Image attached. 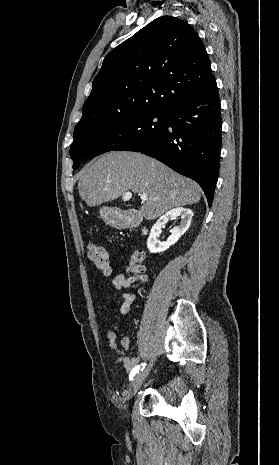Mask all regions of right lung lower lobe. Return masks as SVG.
Listing matches in <instances>:
<instances>
[{
  "instance_id": "98d812e1",
  "label": "right lung lower lobe",
  "mask_w": 279,
  "mask_h": 465,
  "mask_svg": "<svg viewBox=\"0 0 279 465\" xmlns=\"http://www.w3.org/2000/svg\"><path fill=\"white\" fill-rule=\"evenodd\" d=\"M164 131L148 144L127 146L195 180L212 204L219 175L222 140L220 99L215 79L200 94L167 110Z\"/></svg>"
}]
</instances>
